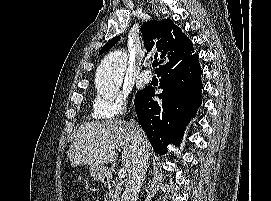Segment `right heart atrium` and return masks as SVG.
<instances>
[{
  "label": "right heart atrium",
  "instance_id": "1",
  "mask_svg": "<svg viewBox=\"0 0 271 201\" xmlns=\"http://www.w3.org/2000/svg\"><path fill=\"white\" fill-rule=\"evenodd\" d=\"M127 112V97L113 92L108 96L98 95L93 101V113L96 117L117 120Z\"/></svg>",
  "mask_w": 271,
  "mask_h": 201
}]
</instances>
